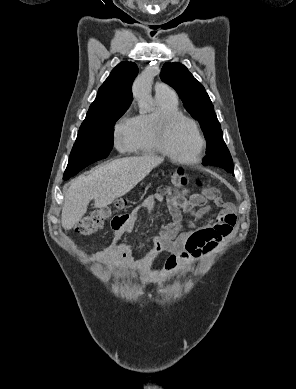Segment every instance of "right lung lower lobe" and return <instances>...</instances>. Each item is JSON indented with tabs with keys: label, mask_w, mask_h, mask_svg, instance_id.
<instances>
[{
	"label": "right lung lower lobe",
	"mask_w": 296,
	"mask_h": 389,
	"mask_svg": "<svg viewBox=\"0 0 296 389\" xmlns=\"http://www.w3.org/2000/svg\"><path fill=\"white\" fill-rule=\"evenodd\" d=\"M80 170H73L71 172H68V173H64V177L63 179L64 180H67L69 179L71 176H74L75 174H77Z\"/></svg>",
	"instance_id": "obj_1"
}]
</instances>
